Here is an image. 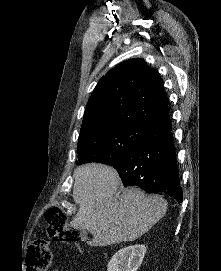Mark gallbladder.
<instances>
[{"mask_svg": "<svg viewBox=\"0 0 221 271\" xmlns=\"http://www.w3.org/2000/svg\"><path fill=\"white\" fill-rule=\"evenodd\" d=\"M88 235L89 233L87 229H79V237H81V241H87Z\"/></svg>", "mask_w": 221, "mask_h": 271, "instance_id": "1", "label": "gallbladder"}]
</instances>
